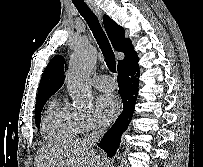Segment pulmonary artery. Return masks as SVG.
Here are the masks:
<instances>
[{
	"instance_id": "pulmonary-artery-1",
	"label": "pulmonary artery",
	"mask_w": 203,
	"mask_h": 167,
	"mask_svg": "<svg viewBox=\"0 0 203 167\" xmlns=\"http://www.w3.org/2000/svg\"><path fill=\"white\" fill-rule=\"evenodd\" d=\"M92 84L95 88L107 91L115 88L114 80L108 75L96 76L92 79Z\"/></svg>"
}]
</instances>
